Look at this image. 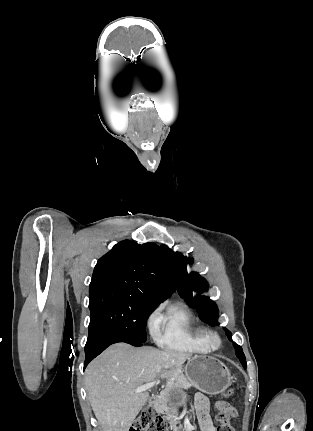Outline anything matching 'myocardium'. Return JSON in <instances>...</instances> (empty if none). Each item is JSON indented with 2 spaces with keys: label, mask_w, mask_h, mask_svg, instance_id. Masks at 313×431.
Returning a JSON list of instances; mask_svg holds the SVG:
<instances>
[{
  "label": "myocardium",
  "mask_w": 313,
  "mask_h": 431,
  "mask_svg": "<svg viewBox=\"0 0 313 431\" xmlns=\"http://www.w3.org/2000/svg\"><path fill=\"white\" fill-rule=\"evenodd\" d=\"M206 343L211 349H218L221 346L222 340L220 335L215 331H209L206 335Z\"/></svg>",
  "instance_id": "obj_1"
}]
</instances>
